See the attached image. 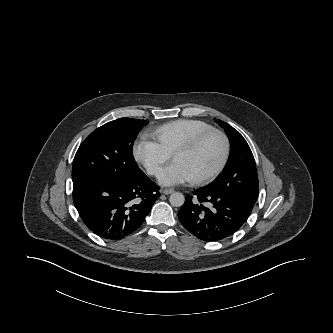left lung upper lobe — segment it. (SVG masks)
<instances>
[{"label":"left lung upper lobe","instance_id":"1","mask_svg":"<svg viewBox=\"0 0 333 333\" xmlns=\"http://www.w3.org/2000/svg\"><path fill=\"white\" fill-rule=\"evenodd\" d=\"M216 122L225 130L231 151L223 174L209 187L225 191L253 207L258 198L259 183L251 149L236 129L221 120Z\"/></svg>","mask_w":333,"mask_h":333}]
</instances>
